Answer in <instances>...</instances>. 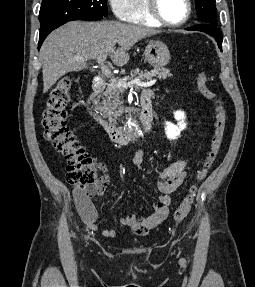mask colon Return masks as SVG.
<instances>
[{"label": "colon", "instance_id": "5ec220e1", "mask_svg": "<svg viewBox=\"0 0 255 287\" xmlns=\"http://www.w3.org/2000/svg\"><path fill=\"white\" fill-rule=\"evenodd\" d=\"M197 87L200 93L215 104V126L209 153L202 168L197 172L196 182L190 187L179 207L173 214L176 223L186 218L191 210L198 185L208 175L220 152L225 127L226 113L221 100L207 87V77L201 72L197 77ZM72 79L62 77L49 93L46 107L42 115L44 137L50 141L56 151L67 161V181L81 189H85L97 180L96 166L91 156L83 149L75 135L66 123V107L70 99Z\"/></svg>", "mask_w": 255, "mask_h": 287}]
</instances>
